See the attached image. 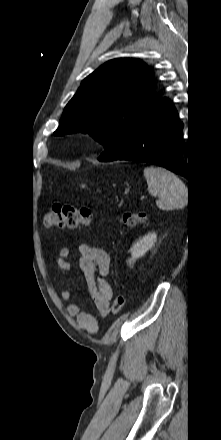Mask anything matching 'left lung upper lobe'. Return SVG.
I'll use <instances>...</instances> for the list:
<instances>
[{
	"label": "left lung upper lobe",
	"instance_id": "left-lung-upper-lobe-1",
	"mask_svg": "<svg viewBox=\"0 0 221 440\" xmlns=\"http://www.w3.org/2000/svg\"><path fill=\"white\" fill-rule=\"evenodd\" d=\"M152 70L138 59H114L86 77L66 105L54 135L90 134L104 145L101 161L117 160L133 128L160 98Z\"/></svg>",
	"mask_w": 221,
	"mask_h": 440
}]
</instances>
